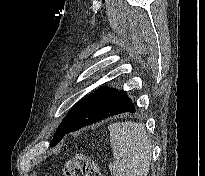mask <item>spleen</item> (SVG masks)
<instances>
[{"label": "spleen", "instance_id": "spleen-1", "mask_svg": "<svg viewBox=\"0 0 205 176\" xmlns=\"http://www.w3.org/2000/svg\"><path fill=\"white\" fill-rule=\"evenodd\" d=\"M115 160L114 176H147L150 168L152 145L141 123L126 121L108 127Z\"/></svg>", "mask_w": 205, "mask_h": 176}]
</instances>
